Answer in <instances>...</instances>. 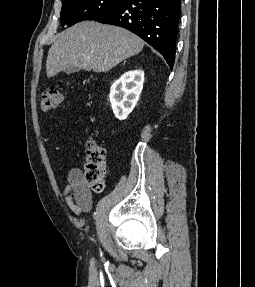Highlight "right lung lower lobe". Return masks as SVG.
I'll return each instance as SVG.
<instances>
[{
  "mask_svg": "<svg viewBox=\"0 0 255 287\" xmlns=\"http://www.w3.org/2000/svg\"><path fill=\"white\" fill-rule=\"evenodd\" d=\"M180 11L181 0H125L94 21L135 33L158 50L172 70Z\"/></svg>",
  "mask_w": 255,
  "mask_h": 287,
  "instance_id": "obj_1",
  "label": "right lung lower lobe"
}]
</instances>
